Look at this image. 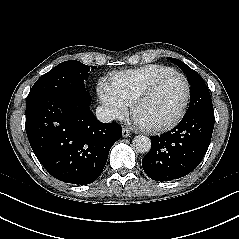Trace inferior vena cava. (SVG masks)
I'll return each instance as SVG.
<instances>
[{"label":"inferior vena cava","mask_w":239,"mask_h":239,"mask_svg":"<svg viewBox=\"0 0 239 239\" xmlns=\"http://www.w3.org/2000/svg\"><path fill=\"white\" fill-rule=\"evenodd\" d=\"M96 117L99 121L109 123L115 120L116 116L112 109L106 106H98L96 108Z\"/></svg>","instance_id":"obj_1"}]
</instances>
